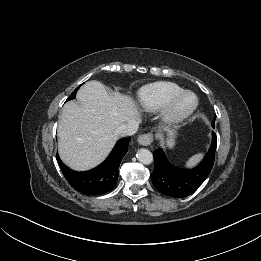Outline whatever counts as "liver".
<instances>
[{
	"instance_id": "obj_1",
	"label": "liver",
	"mask_w": 261,
	"mask_h": 261,
	"mask_svg": "<svg viewBox=\"0 0 261 261\" xmlns=\"http://www.w3.org/2000/svg\"><path fill=\"white\" fill-rule=\"evenodd\" d=\"M77 100L66 103L58 125V151L74 170H88L101 163L119 139V128L140 120V112L129 96L109 95L99 81L86 82Z\"/></svg>"
}]
</instances>
